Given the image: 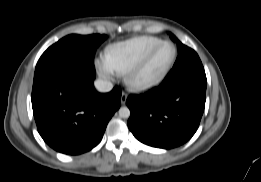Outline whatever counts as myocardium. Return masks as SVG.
<instances>
[{"instance_id":"myocardium-1","label":"myocardium","mask_w":261,"mask_h":182,"mask_svg":"<svg viewBox=\"0 0 261 182\" xmlns=\"http://www.w3.org/2000/svg\"><path fill=\"white\" fill-rule=\"evenodd\" d=\"M171 46L173 48L174 54L173 58L167 67L156 77L142 80L139 78L140 73L148 64L153 55L162 47V46ZM178 55L177 47L169 41H162L152 47L139 61H137L126 73H125V82L129 88L137 91L146 90L160 84L169 74L172 67L174 66Z\"/></svg>"}]
</instances>
